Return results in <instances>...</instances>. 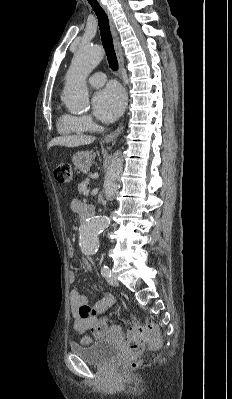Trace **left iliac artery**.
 <instances>
[{
    "label": "left iliac artery",
    "instance_id": "obj_1",
    "mask_svg": "<svg viewBox=\"0 0 232 399\" xmlns=\"http://www.w3.org/2000/svg\"><path fill=\"white\" fill-rule=\"evenodd\" d=\"M101 273H102L104 276L111 277V269H110V267H109L108 265L104 264V265L102 266Z\"/></svg>",
    "mask_w": 232,
    "mask_h": 399
}]
</instances>
